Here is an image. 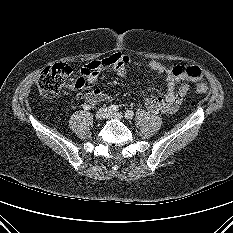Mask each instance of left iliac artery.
<instances>
[{"label":"left iliac artery","instance_id":"left-iliac-artery-1","mask_svg":"<svg viewBox=\"0 0 233 233\" xmlns=\"http://www.w3.org/2000/svg\"><path fill=\"white\" fill-rule=\"evenodd\" d=\"M127 119H132L134 117V112L132 110H127L125 113Z\"/></svg>","mask_w":233,"mask_h":233}]
</instances>
